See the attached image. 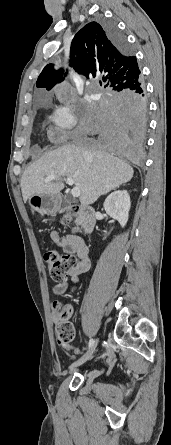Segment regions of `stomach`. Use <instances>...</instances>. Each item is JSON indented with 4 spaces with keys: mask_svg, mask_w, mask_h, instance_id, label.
Instances as JSON below:
<instances>
[{
    "mask_svg": "<svg viewBox=\"0 0 171 445\" xmlns=\"http://www.w3.org/2000/svg\"><path fill=\"white\" fill-rule=\"evenodd\" d=\"M29 205L32 210L42 214H52L59 208V197L57 195L34 194L29 198Z\"/></svg>",
    "mask_w": 171,
    "mask_h": 445,
    "instance_id": "1",
    "label": "stomach"
}]
</instances>
